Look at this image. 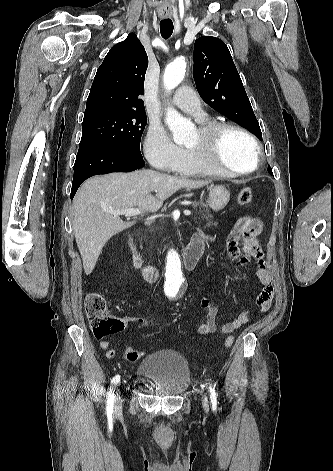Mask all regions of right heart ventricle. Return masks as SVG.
<instances>
[{
  "mask_svg": "<svg viewBox=\"0 0 333 471\" xmlns=\"http://www.w3.org/2000/svg\"><path fill=\"white\" fill-rule=\"evenodd\" d=\"M206 123L205 120H202ZM173 172L184 176H217L215 171L198 162L187 149H184V155L179 165ZM223 176V175H222Z\"/></svg>",
  "mask_w": 333,
  "mask_h": 471,
  "instance_id": "obj_1",
  "label": "right heart ventricle"
}]
</instances>
